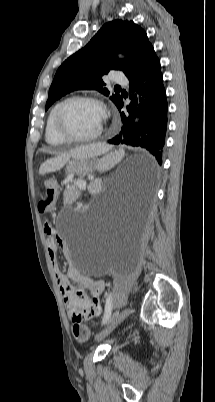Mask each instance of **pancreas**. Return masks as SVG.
<instances>
[{
	"instance_id": "cf45deb5",
	"label": "pancreas",
	"mask_w": 215,
	"mask_h": 402,
	"mask_svg": "<svg viewBox=\"0 0 215 402\" xmlns=\"http://www.w3.org/2000/svg\"><path fill=\"white\" fill-rule=\"evenodd\" d=\"M76 191V193L79 195L80 194V189L79 186L76 182H74V184H71L69 186H67V189L65 191V194H71L72 192Z\"/></svg>"
}]
</instances>
